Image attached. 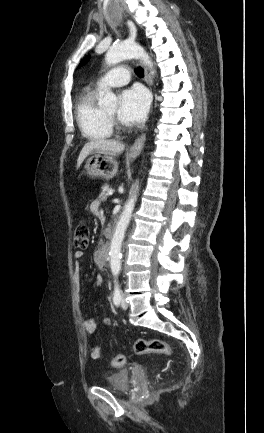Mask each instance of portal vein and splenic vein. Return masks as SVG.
Returning <instances> with one entry per match:
<instances>
[{
  "label": "portal vein and splenic vein",
  "mask_w": 264,
  "mask_h": 433,
  "mask_svg": "<svg viewBox=\"0 0 264 433\" xmlns=\"http://www.w3.org/2000/svg\"><path fill=\"white\" fill-rule=\"evenodd\" d=\"M107 194L108 195H112L113 194V190H109Z\"/></svg>",
  "instance_id": "18ae733b"
}]
</instances>
